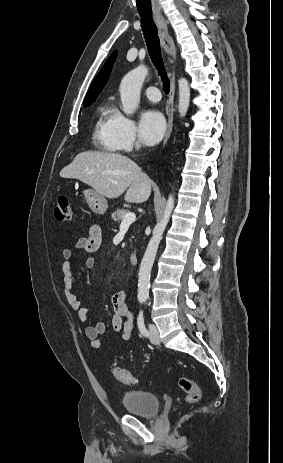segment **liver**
I'll list each match as a JSON object with an SVG mask.
<instances>
[{"mask_svg": "<svg viewBox=\"0 0 283 463\" xmlns=\"http://www.w3.org/2000/svg\"><path fill=\"white\" fill-rule=\"evenodd\" d=\"M60 177L78 179L109 199L122 195L142 203L151 194V180L130 158L118 153L86 151L60 171Z\"/></svg>", "mask_w": 283, "mask_h": 463, "instance_id": "liver-1", "label": "liver"}]
</instances>
